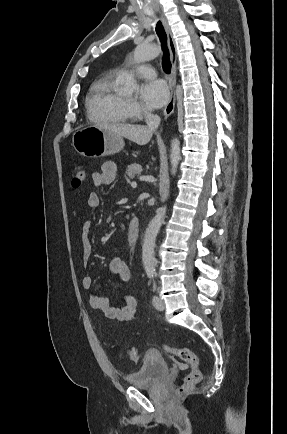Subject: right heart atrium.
Instances as JSON below:
<instances>
[{"mask_svg": "<svg viewBox=\"0 0 287 434\" xmlns=\"http://www.w3.org/2000/svg\"><path fill=\"white\" fill-rule=\"evenodd\" d=\"M127 108L133 116H138L144 112V108L135 100H127Z\"/></svg>", "mask_w": 287, "mask_h": 434, "instance_id": "obj_1", "label": "right heart atrium"}]
</instances>
